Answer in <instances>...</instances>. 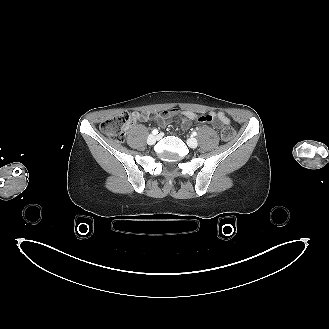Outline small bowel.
<instances>
[{
  "instance_id": "small-bowel-1",
  "label": "small bowel",
  "mask_w": 329,
  "mask_h": 329,
  "mask_svg": "<svg viewBox=\"0 0 329 329\" xmlns=\"http://www.w3.org/2000/svg\"><path fill=\"white\" fill-rule=\"evenodd\" d=\"M134 116L136 119H140L142 121L148 119L146 114L134 113ZM155 117L161 119L162 121L176 117L183 128H189L195 120H199L201 123H211L214 126H218L219 124H230L229 118L222 112H209L207 114L198 116L192 111L170 108L155 113Z\"/></svg>"
}]
</instances>
